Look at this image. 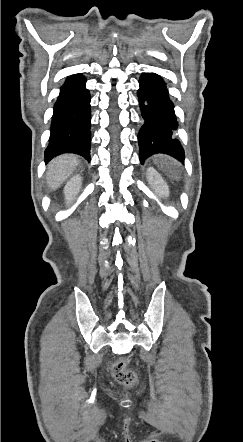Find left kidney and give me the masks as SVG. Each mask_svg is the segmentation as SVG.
Masks as SVG:
<instances>
[{
  "label": "left kidney",
  "mask_w": 243,
  "mask_h": 442,
  "mask_svg": "<svg viewBox=\"0 0 243 442\" xmlns=\"http://www.w3.org/2000/svg\"><path fill=\"white\" fill-rule=\"evenodd\" d=\"M147 179L160 197L169 195L167 185L154 168L149 167L147 169Z\"/></svg>",
  "instance_id": "1"
}]
</instances>
